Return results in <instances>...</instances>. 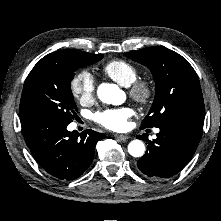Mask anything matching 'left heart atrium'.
<instances>
[{
    "mask_svg": "<svg viewBox=\"0 0 221 221\" xmlns=\"http://www.w3.org/2000/svg\"><path fill=\"white\" fill-rule=\"evenodd\" d=\"M132 114V110L127 107L108 109L98 112L95 121L107 129L123 131L128 127V120Z\"/></svg>",
    "mask_w": 221,
    "mask_h": 221,
    "instance_id": "1",
    "label": "left heart atrium"
}]
</instances>
